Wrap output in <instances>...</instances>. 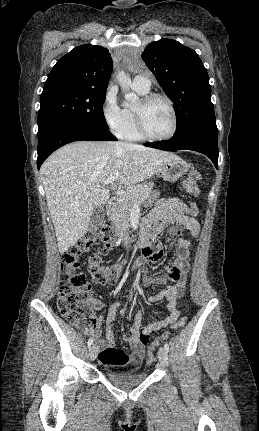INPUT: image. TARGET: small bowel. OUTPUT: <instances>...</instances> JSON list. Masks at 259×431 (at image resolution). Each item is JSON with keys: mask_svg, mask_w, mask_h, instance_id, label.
Masks as SVG:
<instances>
[{"mask_svg": "<svg viewBox=\"0 0 259 431\" xmlns=\"http://www.w3.org/2000/svg\"><path fill=\"white\" fill-rule=\"evenodd\" d=\"M190 205H186L178 198H163L157 202L155 207L144 217L140 227V246L142 248L151 244L163 227L167 223H177L184 226L191 232L194 237L199 233V224L195 217L189 213ZM189 247L188 239L180 238L177 241L176 257L165 267L166 278L171 283L166 287L148 298L150 304L158 303L162 300H167L168 314L161 320L152 322L145 327H142L143 313L141 309L136 310L133 324L131 326V334L123 336V340L128 343L131 348V353L115 348V336L113 326L117 309L121 304L120 300L112 301L107 307L105 316V339H100L99 331H96L95 336L100 347L98 360L107 369H136L140 366L143 354L144 345L140 341L142 332L148 334L158 332L172 324L179 316L177 307L178 300L185 294L187 285V273L189 271ZM143 260V258H142ZM146 261V260H143ZM124 264V262H123ZM146 283H150L153 277H143ZM161 281L153 282V285L161 286ZM91 304L95 309H102L104 303L92 299ZM103 318L98 319L96 328H98Z\"/></svg>", "mask_w": 259, "mask_h": 431, "instance_id": "small-bowel-1", "label": "small bowel"}]
</instances>
